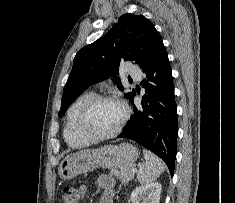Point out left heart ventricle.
I'll list each match as a JSON object with an SVG mask.
<instances>
[{
    "label": "left heart ventricle",
    "mask_w": 235,
    "mask_h": 203,
    "mask_svg": "<svg viewBox=\"0 0 235 203\" xmlns=\"http://www.w3.org/2000/svg\"><path fill=\"white\" fill-rule=\"evenodd\" d=\"M123 116V109L117 102L103 101L89 113L86 127L93 133L105 134L114 130Z\"/></svg>",
    "instance_id": "b2bd125f"
}]
</instances>
